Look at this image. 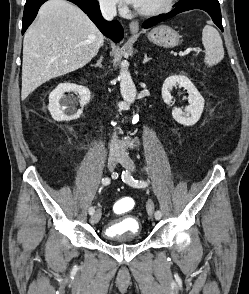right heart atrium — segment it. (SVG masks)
<instances>
[{
  "mask_svg": "<svg viewBox=\"0 0 249 294\" xmlns=\"http://www.w3.org/2000/svg\"><path fill=\"white\" fill-rule=\"evenodd\" d=\"M101 8L107 12H115L121 8L120 0H98Z\"/></svg>",
  "mask_w": 249,
  "mask_h": 294,
  "instance_id": "right-heart-atrium-1",
  "label": "right heart atrium"
}]
</instances>
